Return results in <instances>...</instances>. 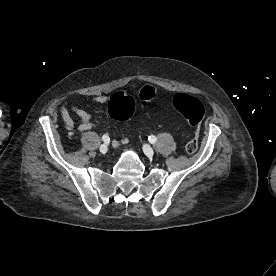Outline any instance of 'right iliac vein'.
<instances>
[{
    "label": "right iliac vein",
    "instance_id": "1",
    "mask_svg": "<svg viewBox=\"0 0 276 276\" xmlns=\"http://www.w3.org/2000/svg\"><path fill=\"white\" fill-rule=\"evenodd\" d=\"M99 150L102 154H105L108 151V146L106 144H102Z\"/></svg>",
    "mask_w": 276,
    "mask_h": 276
}]
</instances>
